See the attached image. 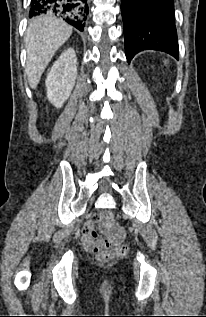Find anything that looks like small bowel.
<instances>
[{
    "mask_svg": "<svg viewBox=\"0 0 206 317\" xmlns=\"http://www.w3.org/2000/svg\"><path fill=\"white\" fill-rule=\"evenodd\" d=\"M98 221V217L95 216L91 219H89L83 229H82V239H83V242L84 244L86 245L87 242L89 241V239L92 237L93 233H94V227H95V224L97 223ZM117 236L118 237H121L122 236V232L121 231H118L117 232Z\"/></svg>",
    "mask_w": 206,
    "mask_h": 317,
    "instance_id": "c3829d8e",
    "label": "small bowel"
}]
</instances>
